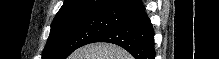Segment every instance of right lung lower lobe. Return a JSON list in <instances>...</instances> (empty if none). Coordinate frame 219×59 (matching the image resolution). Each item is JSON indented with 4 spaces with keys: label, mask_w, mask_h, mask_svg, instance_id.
Returning <instances> with one entry per match:
<instances>
[{
    "label": "right lung lower lobe",
    "mask_w": 219,
    "mask_h": 59,
    "mask_svg": "<svg viewBox=\"0 0 219 59\" xmlns=\"http://www.w3.org/2000/svg\"><path fill=\"white\" fill-rule=\"evenodd\" d=\"M113 9L123 15L124 20L102 33L94 42L119 45L135 59H154V31L143 4L139 0H125Z\"/></svg>",
    "instance_id": "right-lung-lower-lobe-1"
}]
</instances>
